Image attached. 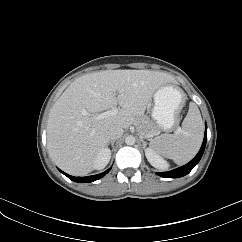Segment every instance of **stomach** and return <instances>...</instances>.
Returning <instances> with one entry per match:
<instances>
[{
    "instance_id": "1",
    "label": "stomach",
    "mask_w": 242,
    "mask_h": 242,
    "mask_svg": "<svg viewBox=\"0 0 242 242\" xmlns=\"http://www.w3.org/2000/svg\"><path fill=\"white\" fill-rule=\"evenodd\" d=\"M185 99L184 92L178 86L170 83H166L156 90L152 118L160 130L170 131L178 126Z\"/></svg>"
}]
</instances>
